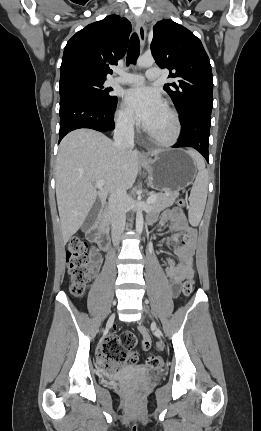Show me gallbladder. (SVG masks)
I'll return each instance as SVG.
<instances>
[{
    "label": "gallbladder",
    "instance_id": "1",
    "mask_svg": "<svg viewBox=\"0 0 261 431\" xmlns=\"http://www.w3.org/2000/svg\"><path fill=\"white\" fill-rule=\"evenodd\" d=\"M100 207H101V203L99 200H97L94 203L93 207L91 208L89 214L87 215V217L83 223L82 229L84 231H87L88 229H90L94 225V223L98 217Z\"/></svg>",
    "mask_w": 261,
    "mask_h": 431
}]
</instances>
